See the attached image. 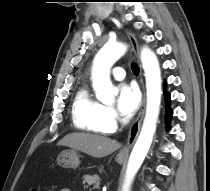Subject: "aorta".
I'll return each mask as SVG.
<instances>
[{"instance_id": "762f6f07", "label": "aorta", "mask_w": 210, "mask_h": 191, "mask_svg": "<svg viewBox=\"0 0 210 191\" xmlns=\"http://www.w3.org/2000/svg\"><path fill=\"white\" fill-rule=\"evenodd\" d=\"M126 50L127 46L124 43L107 42L94 58L91 70L92 85L96 98L104 104L113 103L118 94V89L111 82L110 71L114 63L126 53ZM140 59L146 79V113L128 161L122 191L130 190L133 179L149 151L160 112L162 80L157 56L151 49L144 47L141 49Z\"/></svg>"}]
</instances>
